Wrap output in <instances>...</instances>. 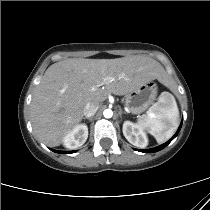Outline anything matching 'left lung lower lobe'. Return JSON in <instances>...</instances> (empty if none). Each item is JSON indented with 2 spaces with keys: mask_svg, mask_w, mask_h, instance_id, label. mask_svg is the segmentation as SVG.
I'll list each match as a JSON object with an SVG mask.
<instances>
[{
  "mask_svg": "<svg viewBox=\"0 0 210 210\" xmlns=\"http://www.w3.org/2000/svg\"><path fill=\"white\" fill-rule=\"evenodd\" d=\"M181 126H182V123L181 125L179 126V129L178 131L176 132V134L166 143L156 147V148H152V149H148V150H139L141 152H144V153H153V152H157V151H160L161 149L165 148L176 136L177 134L179 133L180 129H181Z\"/></svg>",
  "mask_w": 210,
  "mask_h": 210,
  "instance_id": "obj_1",
  "label": "left lung lower lobe"
}]
</instances>
